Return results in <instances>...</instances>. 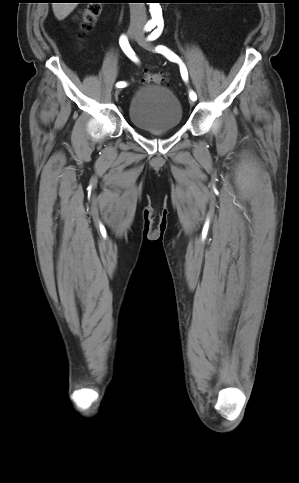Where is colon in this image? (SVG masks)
Listing matches in <instances>:
<instances>
[{
	"label": "colon",
	"instance_id": "colon-1",
	"mask_svg": "<svg viewBox=\"0 0 299 483\" xmlns=\"http://www.w3.org/2000/svg\"><path fill=\"white\" fill-rule=\"evenodd\" d=\"M101 7L99 4H89L80 15V34L79 37H83L84 34L90 31L96 23L98 16L100 15ZM143 82L146 84H167L168 79L160 73H153L147 71L143 77Z\"/></svg>",
	"mask_w": 299,
	"mask_h": 483
}]
</instances>
